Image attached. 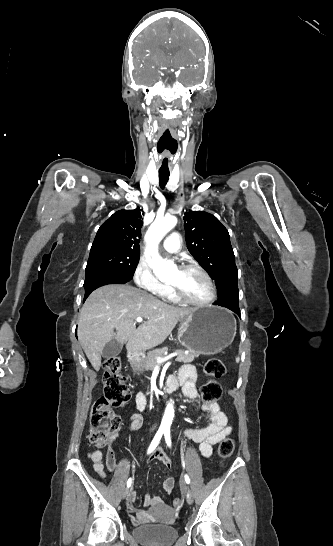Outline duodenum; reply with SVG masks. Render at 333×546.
Masks as SVG:
<instances>
[{
    "label": "duodenum",
    "instance_id": "obj_1",
    "mask_svg": "<svg viewBox=\"0 0 333 546\" xmlns=\"http://www.w3.org/2000/svg\"><path fill=\"white\" fill-rule=\"evenodd\" d=\"M131 357L133 359H138V354L134 353V352H131ZM177 383L175 381V379L173 377H169L168 379H166V381L164 382L163 386H162V390L163 391H172V390H175L177 388Z\"/></svg>",
    "mask_w": 333,
    "mask_h": 546
}]
</instances>
